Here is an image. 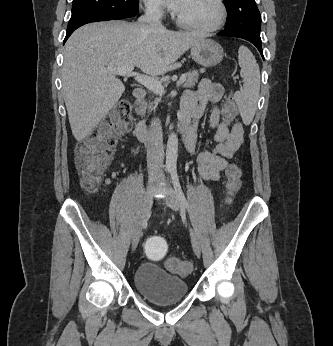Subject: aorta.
<instances>
[{"label":"aorta","mask_w":333,"mask_h":346,"mask_svg":"<svg viewBox=\"0 0 333 346\" xmlns=\"http://www.w3.org/2000/svg\"><path fill=\"white\" fill-rule=\"evenodd\" d=\"M178 157V137L175 133H171L168 137L166 148V166L167 168H175Z\"/></svg>","instance_id":"obj_1"}]
</instances>
